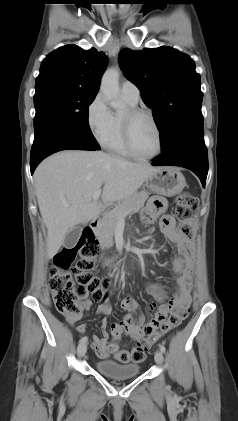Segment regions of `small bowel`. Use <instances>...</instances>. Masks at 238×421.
<instances>
[{
    "mask_svg": "<svg viewBox=\"0 0 238 421\" xmlns=\"http://www.w3.org/2000/svg\"><path fill=\"white\" fill-rule=\"evenodd\" d=\"M166 209V201L162 197L151 198L142 213V220L145 224H151ZM160 227L166 238L176 247V256L173 260L174 271L176 272L177 288L174 296L169 302H166V295L157 284H150L147 289L155 297L157 303H151L148 311L151 318L147 323L144 322L142 314L138 313V304L131 296H126L121 301V307L128 313L122 321L114 323L111 326L112 339L109 340L107 331V320L105 316L111 313V305L105 299L97 307L96 313L103 318L100 321L101 335L92 337V348L100 358H107L120 349L119 340L123 335H128L134 340L144 336H150L157 333L159 327L165 322L169 312L175 308L187 309L191 304V289L194 270V249L189 241L176 228L174 219L169 215H163L160 219ZM91 302L87 300L86 308L90 307ZM81 315L68 318L70 324L74 325ZM80 333L86 331V325L76 326Z\"/></svg>",
    "mask_w": 238,
    "mask_h": 421,
    "instance_id": "small-bowel-1",
    "label": "small bowel"
}]
</instances>
